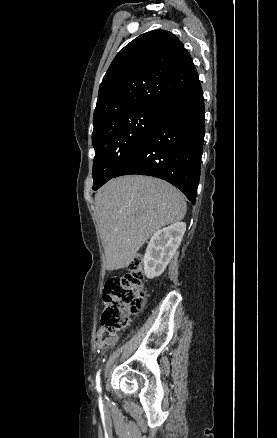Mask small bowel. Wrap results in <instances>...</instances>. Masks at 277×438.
Wrapping results in <instances>:
<instances>
[{
  "label": "small bowel",
  "instance_id": "1",
  "mask_svg": "<svg viewBox=\"0 0 277 438\" xmlns=\"http://www.w3.org/2000/svg\"><path fill=\"white\" fill-rule=\"evenodd\" d=\"M118 339H119V337L115 333L108 334V335L99 333L97 335L96 341H97L98 347H100L102 344H104L106 346H113L118 342Z\"/></svg>",
  "mask_w": 277,
  "mask_h": 438
}]
</instances>
